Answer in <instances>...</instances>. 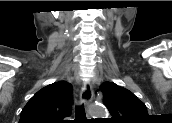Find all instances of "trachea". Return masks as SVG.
<instances>
[{
    "label": "trachea",
    "mask_w": 172,
    "mask_h": 123,
    "mask_svg": "<svg viewBox=\"0 0 172 123\" xmlns=\"http://www.w3.org/2000/svg\"><path fill=\"white\" fill-rule=\"evenodd\" d=\"M85 117L84 106L76 107V120H82Z\"/></svg>",
    "instance_id": "obj_1"
}]
</instances>
